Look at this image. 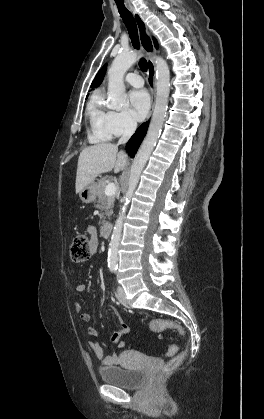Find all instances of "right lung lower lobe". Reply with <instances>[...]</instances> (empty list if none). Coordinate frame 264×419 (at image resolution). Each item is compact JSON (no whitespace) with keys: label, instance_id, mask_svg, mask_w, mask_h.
I'll use <instances>...</instances> for the list:
<instances>
[{"label":"right lung lower lobe","instance_id":"right-lung-lower-lobe-1","mask_svg":"<svg viewBox=\"0 0 264 419\" xmlns=\"http://www.w3.org/2000/svg\"><path fill=\"white\" fill-rule=\"evenodd\" d=\"M148 122L143 123L131 137L126 145L127 153L133 158L146 134Z\"/></svg>","mask_w":264,"mask_h":419}]
</instances>
